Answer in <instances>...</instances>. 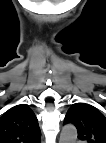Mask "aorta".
I'll use <instances>...</instances> for the list:
<instances>
[{"label":"aorta","mask_w":106,"mask_h":143,"mask_svg":"<svg viewBox=\"0 0 106 143\" xmlns=\"http://www.w3.org/2000/svg\"><path fill=\"white\" fill-rule=\"evenodd\" d=\"M77 129L74 125H65L60 134V143H76Z\"/></svg>","instance_id":"obj_1"}]
</instances>
